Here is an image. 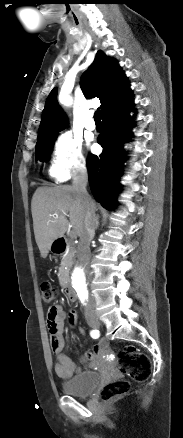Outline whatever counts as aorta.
<instances>
[{
    "label": "aorta",
    "mask_w": 183,
    "mask_h": 438,
    "mask_svg": "<svg viewBox=\"0 0 183 438\" xmlns=\"http://www.w3.org/2000/svg\"><path fill=\"white\" fill-rule=\"evenodd\" d=\"M83 267V266H82ZM84 268L76 267L70 279L71 287L77 293L78 298L83 302L88 297L89 279L86 276Z\"/></svg>",
    "instance_id": "aorta-1"
}]
</instances>
